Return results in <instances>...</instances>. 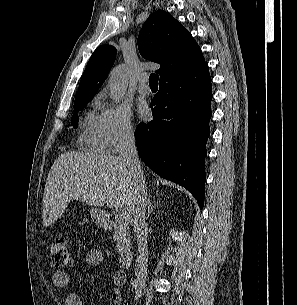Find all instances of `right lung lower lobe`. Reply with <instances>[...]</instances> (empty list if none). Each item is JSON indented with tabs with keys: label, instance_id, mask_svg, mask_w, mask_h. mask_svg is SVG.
I'll return each instance as SVG.
<instances>
[{
	"label": "right lung lower lobe",
	"instance_id": "1",
	"mask_svg": "<svg viewBox=\"0 0 297 305\" xmlns=\"http://www.w3.org/2000/svg\"><path fill=\"white\" fill-rule=\"evenodd\" d=\"M212 88L208 64L160 81L151 101L153 120L135 132L142 160L161 177L189 190L203 207L206 142L210 135Z\"/></svg>",
	"mask_w": 297,
	"mask_h": 305
}]
</instances>
